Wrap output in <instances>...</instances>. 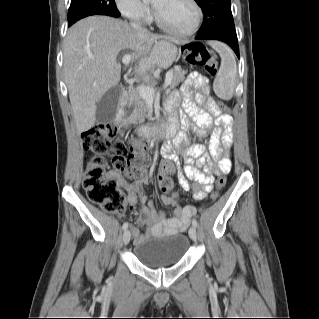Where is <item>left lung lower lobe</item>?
Segmentation results:
<instances>
[{
	"mask_svg": "<svg viewBox=\"0 0 319 319\" xmlns=\"http://www.w3.org/2000/svg\"><path fill=\"white\" fill-rule=\"evenodd\" d=\"M196 39H205V40H219L222 41L226 44H228L236 53V55L239 58V46H238V40L237 37H229V36H222V35H217V36H211L207 38H199L195 37Z\"/></svg>",
	"mask_w": 319,
	"mask_h": 319,
	"instance_id": "obj_1",
	"label": "left lung lower lobe"
}]
</instances>
